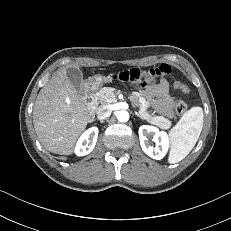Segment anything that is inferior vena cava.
Here are the masks:
<instances>
[{
	"label": "inferior vena cava",
	"mask_w": 231,
	"mask_h": 231,
	"mask_svg": "<svg viewBox=\"0 0 231 231\" xmlns=\"http://www.w3.org/2000/svg\"><path fill=\"white\" fill-rule=\"evenodd\" d=\"M96 113H97V117L103 120L111 115V109L108 105H101L97 108Z\"/></svg>",
	"instance_id": "obj_1"
}]
</instances>
